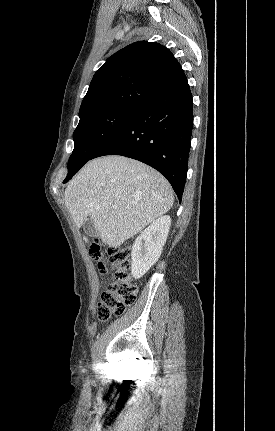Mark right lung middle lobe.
Here are the masks:
<instances>
[{
    "instance_id": "obj_1",
    "label": "right lung middle lobe",
    "mask_w": 275,
    "mask_h": 431,
    "mask_svg": "<svg viewBox=\"0 0 275 431\" xmlns=\"http://www.w3.org/2000/svg\"><path fill=\"white\" fill-rule=\"evenodd\" d=\"M137 110L138 108L129 107L110 108L80 118L73 134L74 150L69 158L66 179L91 160L92 156L131 119Z\"/></svg>"
}]
</instances>
